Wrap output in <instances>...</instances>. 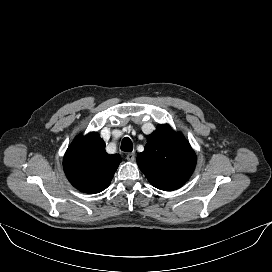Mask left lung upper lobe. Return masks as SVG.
I'll use <instances>...</instances> for the list:
<instances>
[{
  "label": "left lung upper lobe",
  "instance_id": "obj_1",
  "mask_svg": "<svg viewBox=\"0 0 272 272\" xmlns=\"http://www.w3.org/2000/svg\"><path fill=\"white\" fill-rule=\"evenodd\" d=\"M196 155L185 137L167 125H158L148 136L145 150L137 164L156 188L172 191L180 188L192 175Z\"/></svg>",
  "mask_w": 272,
  "mask_h": 272
}]
</instances>
